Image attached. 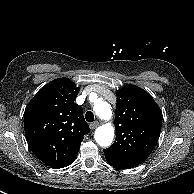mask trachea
I'll return each mask as SVG.
<instances>
[{
  "label": "trachea",
  "instance_id": "obj_1",
  "mask_svg": "<svg viewBox=\"0 0 194 194\" xmlns=\"http://www.w3.org/2000/svg\"><path fill=\"white\" fill-rule=\"evenodd\" d=\"M85 118L87 122H93L94 121V114L91 111H87L85 114Z\"/></svg>",
  "mask_w": 194,
  "mask_h": 194
}]
</instances>
